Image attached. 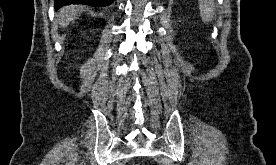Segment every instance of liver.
I'll use <instances>...</instances> for the list:
<instances>
[{
  "mask_svg": "<svg viewBox=\"0 0 276 165\" xmlns=\"http://www.w3.org/2000/svg\"><path fill=\"white\" fill-rule=\"evenodd\" d=\"M59 24L61 27H66L71 21L77 17V10L73 6H66L60 9Z\"/></svg>",
  "mask_w": 276,
  "mask_h": 165,
  "instance_id": "liver-1",
  "label": "liver"
}]
</instances>
